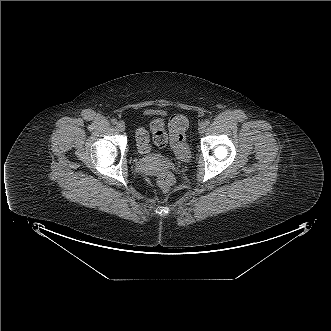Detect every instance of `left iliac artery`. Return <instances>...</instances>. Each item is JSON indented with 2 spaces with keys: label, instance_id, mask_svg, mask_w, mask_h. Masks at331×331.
Returning a JSON list of instances; mask_svg holds the SVG:
<instances>
[{
  "label": "left iliac artery",
  "instance_id": "1",
  "mask_svg": "<svg viewBox=\"0 0 331 331\" xmlns=\"http://www.w3.org/2000/svg\"><path fill=\"white\" fill-rule=\"evenodd\" d=\"M204 123H205V125H209L210 124V120L209 119H206L205 121H204Z\"/></svg>",
  "mask_w": 331,
  "mask_h": 331
}]
</instances>
